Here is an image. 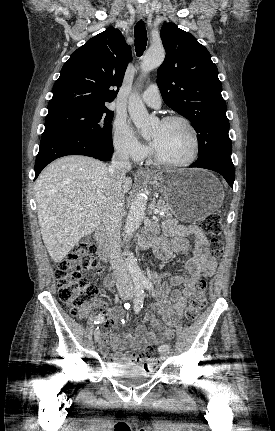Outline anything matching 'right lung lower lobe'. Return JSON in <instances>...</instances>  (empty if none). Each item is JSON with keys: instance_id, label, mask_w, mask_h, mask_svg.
<instances>
[{"instance_id": "98d812e1", "label": "right lung lower lobe", "mask_w": 275, "mask_h": 431, "mask_svg": "<svg viewBox=\"0 0 275 431\" xmlns=\"http://www.w3.org/2000/svg\"><path fill=\"white\" fill-rule=\"evenodd\" d=\"M113 151L112 143L90 136L68 132L43 134L35 162V179L46 165L59 157L86 155L109 161Z\"/></svg>"}]
</instances>
